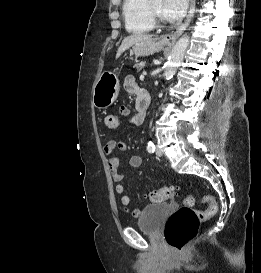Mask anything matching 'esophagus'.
<instances>
[{
	"mask_svg": "<svg viewBox=\"0 0 261 273\" xmlns=\"http://www.w3.org/2000/svg\"><path fill=\"white\" fill-rule=\"evenodd\" d=\"M195 4L196 0H191L189 13L182 25H180L176 31L169 33V34H163L160 37L161 42H163L166 45H174L176 40L179 38V36L183 33V31L188 27V25L191 22V19L195 12Z\"/></svg>",
	"mask_w": 261,
	"mask_h": 273,
	"instance_id": "esophagus-1",
	"label": "esophagus"
}]
</instances>
